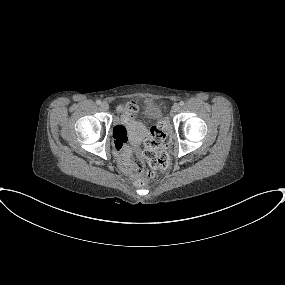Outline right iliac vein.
<instances>
[{
  "label": "right iliac vein",
  "mask_w": 285,
  "mask_h": 285,
  "mask_svg": "<svg viewBox=\"0 0 285 285\" xmlns=\"http://www.w3.org/2000/svg\"><path fill=\"white\" fill-rule=\"evenodd\" d=\"M100 107H101L102 110H108L109 109V105H108L107 102H102L100 104Z\"/></svg>",
  "instance_id": "1"
}]
</instances>
